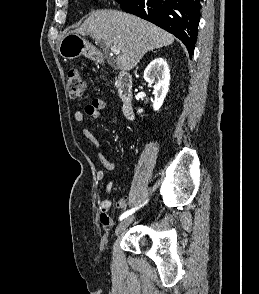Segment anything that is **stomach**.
Returning <instances> with one entry per match:
<instances>
[{
	"label": "stomach",
	"mask_w": 259,
	"mask_h": 294,
	"mask_svg": "<svg viewBox=\"0 0 259 294\" xmlns=\"http://www.w3.org/2000/svg\"><path fill=\"white\" fill-rule=\"evenodd\" d=\"M59 54L67 59H74L80 55L93 59V47L76 31L67 32L61 39L58 47Z\"/></svg>",
	"instance_id": "0dacf381"
}]
</instances>
